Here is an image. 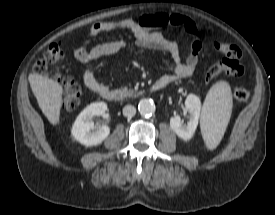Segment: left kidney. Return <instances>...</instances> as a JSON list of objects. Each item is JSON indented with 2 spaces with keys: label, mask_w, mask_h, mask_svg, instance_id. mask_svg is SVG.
I'll return each mask as SVG.
<instances>
[{
  "label": "left kidney",
  "mask_w": 275,
  "mask_h": 215,
  "mask_svg": "<svg viewBox=\"0 0 275 215\" xmlns=\"http://www.w3.org/2000/svg\"><path fill=\"white\" fill-rule=\"evenodd\" d=\"M185 106L190 113L187 124H183L180 116L174 115L170 118V127L178 137L187 141L192 138L199 121L201 102L198 96L189 94L185 101Z\"/></svg>",
  "instance_id": "5707ae66"
}]
</instances>
